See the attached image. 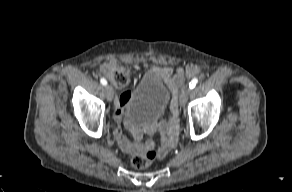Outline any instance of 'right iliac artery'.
<instances>
[{"mask_svg": "<svg viewBox=\"0 0 292 192\" xmlns=\"http://www.w3.org/2000/svg\"><path fill=\"white\" fill-rule=\"evenodd\" d=\"M100 82H101V84H102L103 86H106V85H107V81H106L105 78H101V79H100Z\"/></svg>", "mask_w": 292, "mask_h": 192, "instance_id": "1", "label": "right iliac artery"}]
</instances>
